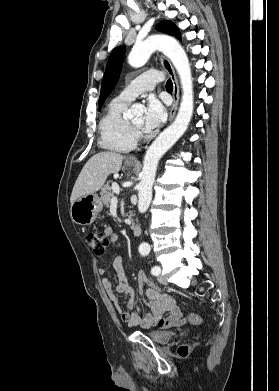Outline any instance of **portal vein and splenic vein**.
<instances>
[{
	"mask_svg": "<svg viewBox=\"0 0 279 391\" xmlns=\"http://www.w3.org/2000/svg\"><path fill=\"white\" fill-rule=\"evenodd\" d=\"M113 190L115 191L116 194H119V193H120V189H119L118 184H116V183L113 184ZM117 202H118L117 197H113V198L111 199V203H112V204H113V203H117Z\"/></svg>",
	"mask_w": 279,
	"mask_h": 391,
	"instance_id": "obj_1",
	"label": "portal vein and splenic vein"
}]
</instances>
